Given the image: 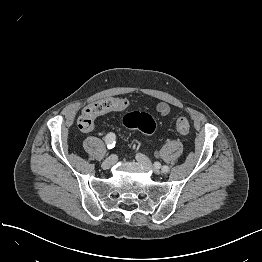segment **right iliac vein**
I'll use <instances>...</instances> for the list:
<instances>
[{
	"label": "right iliac vein",
	"mask_w": 262,
	"mask_h": 262,
	"mask_svg": "<svg viewBox=\"0 0 262 262\" xmlns=\"http://www.w3.org/2000/svg\"><path fill=\"white\" fill-rule=\"evenodd\" d=\"M115 161H116V156L115 155H112V156L108 157L107 159H105L102 162V168L105 169V170L111 168L113 166V164L115 163Z\"/></svg>",
	"instance_id": "1"
}]
</instances>
